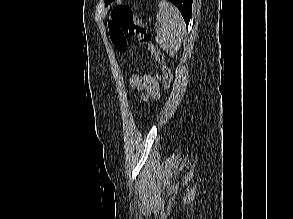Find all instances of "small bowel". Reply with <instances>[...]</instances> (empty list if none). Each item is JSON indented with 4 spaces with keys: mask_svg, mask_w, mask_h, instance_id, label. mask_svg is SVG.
<instances>
[{
    "mask_svg": "<svg viewBox=\"0 0 293 219\" xmlns=\"http://www.w3.org/2000/svg\"><path fill=\"white\" fill-rule=\"evenodd\" d=\"M131 83L135 88L146 91L150 97L157 98L159 96L158 76H133Z\"/></svg>",
    "mask_w": 293,
    "mask_h": 219,
    "instance_id": "c3829d8e",
    "label": "small bowel"
}]
</instances>
